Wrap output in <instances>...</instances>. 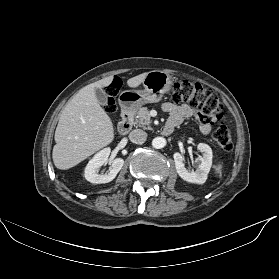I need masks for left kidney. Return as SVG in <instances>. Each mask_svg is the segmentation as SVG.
<instances>
[{
	"label": "left kidney",
	"mask_w": 279,
	"mask_h": 279,
	"mask_svg": "<svg viewBox=\"0 0 279 279\" xmlns=\"http://www.w3.org/2000/svg\"><path fill=\"white\" fill-rule=\"evenodd\" d=\"M197 149L203 155L197 158L198 168L196 171H190L185 167L184 157L180 153H174L173 158L177 173L183 180L189 183L203 184L212 166V149L205 143H199Z\"/></svg>",
	"instance_id": "obj_1"
}]
</instances>
